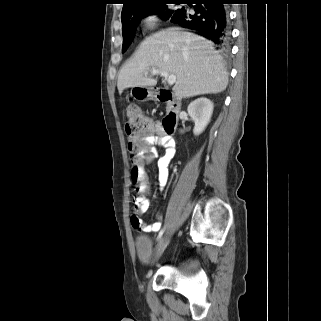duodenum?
<instances>
[{
  "label": "duodenum",
  "instance_id": "obj_1",
  "mask_svg": "<svg viewBox=\"0 0 321 321\" xmlns=\"http://www.w3.org/2000/svg\"><path fill=\"white\" fill-rule=\"evenodd\" d=\"M153 97L157 101L168 105L169 111L162 121V127L167 134H173L179 119L182 105L181 99L170 90L164 88L156 89Z\"/></svg>",
  "mask_w": 321,
  "mask_h": 321
}]
</instances>
